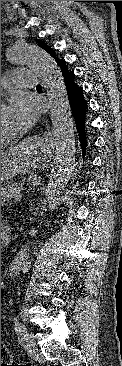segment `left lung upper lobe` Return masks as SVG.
Segmentation results:
<instances>
[{
  "label": "left lung upper lobe",
  "instance_id": "obj_1",
  "mask_svg": "<svg viewBox=\"0 0 122 366\" xmlns=\"http://www.w3.org/2000/svg\"><path fill=\"white\" fill-rule=\"evenodd\" d=\"M38 45L43 48L47 53H49L55 60H58L59 58L55 55V52L52 48L47 46L44 42L41 40H38Z\"/></svg>",
  "mask_w": 122,
  "mask_h": 366
}]
</instances>
